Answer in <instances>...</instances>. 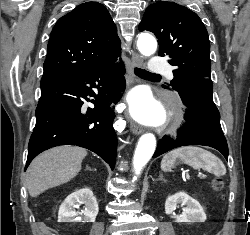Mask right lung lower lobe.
I'll return each mask as SVG.
<instances>
[{
	"mask_svg": "<svg viewBox=\"0 0 250 235\" xmlns=\"http://www.w3.org/2000/svg\"><path fill=\"white\" fill-rule=\"evenodd\" d=\"M115 62L110 59L78 75L41 83L25 170L39 153L59 145L87 148L114 168L117 137L111 105L125 88L124 65ZM87 96L95 98L94 108L83 106L91 101Z\"/></svg>",
	"mask_w": 250,
	"mask_h": 235,
	"instance_id": "obj_1",
	"label": "right lung lower lobe"
}]
</instances>
